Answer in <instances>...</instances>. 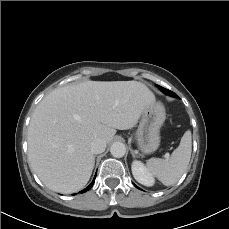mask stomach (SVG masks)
<instances>
[{"label":"stomach","mask_w":229,"mask_h":229,"mask_svg":"<svg viewBox=\"0 0 229 229\" xmlns=\"http://www.w3.org/2000/svg\"><path fill=\"white\" fill-rule=\"evenodd\" d=\"M166 118L165 108L160 102L147 105L139 123L135 140L142 154L155 152L160 145V128Z\"/></svg>","instance_id":"1"}]
</instances>
